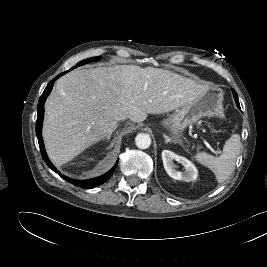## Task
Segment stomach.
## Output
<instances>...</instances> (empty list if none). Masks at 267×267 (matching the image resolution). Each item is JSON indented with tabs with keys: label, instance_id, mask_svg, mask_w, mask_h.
Masks as SVG:
<instances>
[{
	"label": "stomach",
	"instance_id": "stomach-1",
	"mask_svg": "<svg viewBox=\"0 0 267 267\" xmlns=\"http://www.w3.org/2000/svg\"><path fill=\"white\" fill-rule=\"evenodd\" d=\"M224 119L223 92L219 89H208L196 100L177 109L162 125L169 131L176 142H182L187 127L201 117Z\"/></svg>",
	"mask_w": 267,
	"mask_h": 267
}]
</instances>
